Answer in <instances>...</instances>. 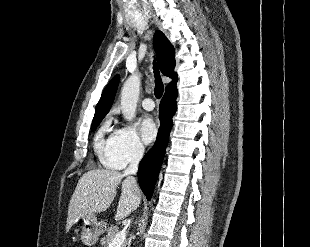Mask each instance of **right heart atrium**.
Instances as JSON below:
<instances>
[{
  "instance_id": "right-heart-atrium-1",
  "label": "right heart atrium",
  "mask_w": 310,
  "mask_h": 247,
  "mask_svg": "<svg viewBox=\"0 0 310 247\" xmlns=\"http://www.w3.org/2000/svg\"><path fill=\"white\" fill-rule=\"evenodd\" d=\"M144 154V145L136 129L124 125L112 136L110 148L103 163L107 167L123 168L129 163L139 161Z\"/></svg>"
}]
</instances>
